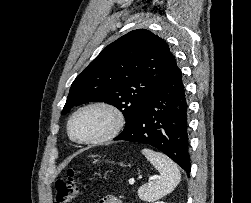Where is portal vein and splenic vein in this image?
Listing matches in <instances>:
<instances>
[{
	"label": "portal vein and splenic vein",
	"instance_id": "18ae733b",
	"mask_svg": "<svg viewBox=\"0 0 251 203\" xmlns=\"http://www.w3.org/2000/svg\"><path fill=\"white\" fill-rule=\"evenodd\" d=\"M134 182H135V180H134V179H130V180H129V184H131V185H133V184H134Z\"/></svg>",
	"mask_w": 251,
	"mask_h": 203
}]
</instances>
